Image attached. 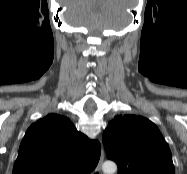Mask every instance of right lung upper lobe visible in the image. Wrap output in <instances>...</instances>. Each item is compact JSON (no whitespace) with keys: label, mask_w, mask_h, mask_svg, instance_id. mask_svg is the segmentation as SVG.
<instances>
[{"label":"right lung upper lobe","mask_w":187,"mask_h":174,"mask_svg":"<svg viewBox=\"0 0 187 174\" xmlns=\"http://www.w3.org/2000/svg\"><path fill=\"white\" fill-rule=\"evenodd\" d=\"M100 154L98 141H90L68 118L52 113L27 130L13 174H89Z\"/></svg>","instance_id":"right-lung-upper-lobe-1"}]
</instances>
